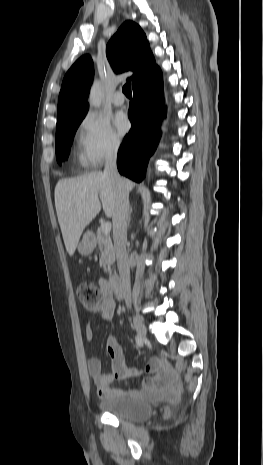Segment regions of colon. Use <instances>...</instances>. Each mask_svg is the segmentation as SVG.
Instances as JSON below:
<instances>
[{"label":"colon","instance_id":"colon-1","mask_svg":"<svg viewBox=\"0 0 263 465\" xmlns=\"http://www.w3.org/2000/svg\"><path fill=\"white\" fill-rule=\"evenodd\" d=\"M105 296V288L94 282H84L78 288V297L87 308L96 307Z\"/></svg>","mask_w":263,"mask_h":465}]
</instances>
